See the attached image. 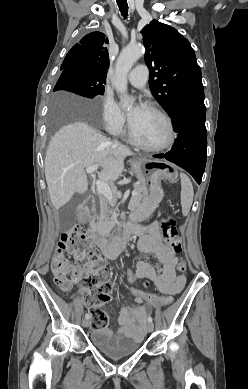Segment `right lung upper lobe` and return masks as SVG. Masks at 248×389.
Here are the masks:
<instances>
[{
	"label": "right lung upper lobe",
	"mask_w": 248,
	"mask_h": 389,
	"mask_svg": "<svg viewBox=\"0 0 248 389\" xmlns=\"http://www.w3.org/2000/svg\"><path fill=\"white\" fill-rule=\"evenodd\" d=\"M109 40L104 33L92 32L75 44L66 55L61 69H79L96 77L106 79L109 56L106 44Z\"/></svg>",
	"instance_id": "obj_1"
}]
</instances>
